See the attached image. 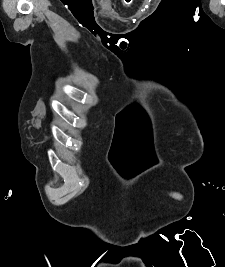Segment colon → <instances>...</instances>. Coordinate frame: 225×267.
<instances>
[{"label": "colon", "mask_w": 225, "mask_h": 267, "mask_svg": "<svg viewBox=\"0 0 225 267\" xmlns=\"http://www.w3.org/2000/svg\"><path fill=\"white\" fill-rule=\"evenodd\" d=\"M125 2H126V3H130V2H131V0H126Z\"/></svg>", "instance_id": "1"}]
</instances>
